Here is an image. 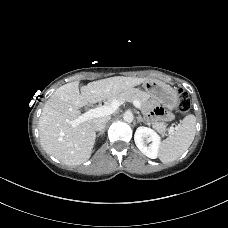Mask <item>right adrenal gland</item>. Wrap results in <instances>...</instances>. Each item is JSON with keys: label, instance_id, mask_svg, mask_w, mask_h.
Returning a JSON list of instances; mask_svg holds the SVG:
<instances>
[{"label": "right adrenal gland", "instance_id": "right-adrenal-gland-1", "mask_svg": "<svg viewBox=\"0 0 228 228\" xmlns=\"http://www.w3.org/2000/svg\"><path fill=\"white\" fill-rule=\"evenodd\" d=\"M105 133V130H102L101 132H99L98 134H97V137H99L100 135H103Z\"/></svg>", "mask_w": 228, "mask_h": 228}]
</instances>
